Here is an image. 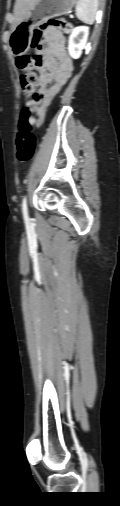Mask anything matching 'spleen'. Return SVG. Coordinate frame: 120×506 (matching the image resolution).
I'll return each instance as SVG.
<instances>
[{
  "label": "spleen",
  "instance_id": "spleen-1",
  "mask_svg": "<svg viewBox=\"0 0 120 506\" xmlns=\"http://www.w3.org/2000/svg\"><path fill=\"white\" fill-rule=\"evenodd\" d=\"M98 9V0H78L76 16L84 23L92 24L95 21Z\"/></svg>",
  "mask_w": 120,
  "mask_h": 506
}]
</instances>
